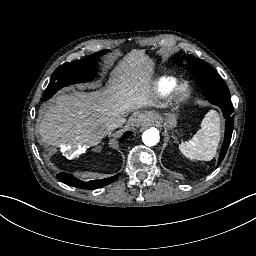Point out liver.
<instances>
[{"label": "liver", "mask_w": 256, "mask_h": 256, "mask_svg": "<svg viewBox=\"0 0 256 256\" xmlns=\"http://www.w3.org/2000/svg\"><path fill=\"white\" fill-rule=\"evenodd\" d=\"M154 65L144 49L131 50L110 73L106 89L56 96L40 120L39 134L53 146L98 145L112 131L107 125L116 118L145 107H159L152 87ZM138 117L153 119L157 115L147 112Z\"/></svg>", "instance_id": "liver-1"}]
</instances>
